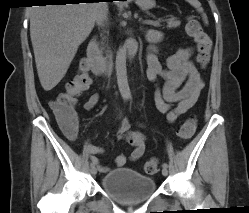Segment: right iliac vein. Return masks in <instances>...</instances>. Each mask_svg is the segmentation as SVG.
Instances as JSON below:
<instances>
[{"label":"right iliac vein","mask_w":249,"mask_h":213,"mask_svg":"<svg viewBox=\"0 0 249 213\" xmlns=\"http://www.w3.org/2000/svg\"><path fill=\"white\" fill-rule=\"evenodd\" d=\"M90 172L92 175H95L97 173V168L95 166L91 167Z\"/></svg>","instance_id":"obj_1"}]
</instances>
